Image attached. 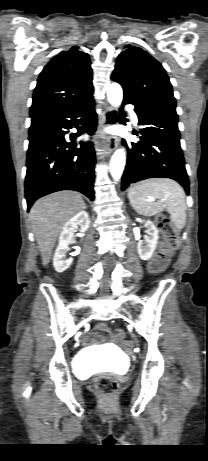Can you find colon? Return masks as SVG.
Listing matches in <instances>:
<instances>
[{"label": "colon", "mask_w": 208, "mask_h": 461, "mask_svg": "<svg viewBox=\"0 0 208 461\" xmlns=\"http://www.w3.org/2000/svg\"><path fill=\"white\" fill-rule=\"evenodd\" d=\"M156 224L165 238V242L161 245L157 254L151 261V268L155 271L163 269L169 260L171 253L179 245V235L176 227L166 215H159L156 218ZM114 335L119 340L125 339V334L122 330H115ZM96 392L104 399L111 398L118 390V382L111 376L102 375L95 381Z\"/></svg>", "instance_id": "obj_1"}]
</instances>
